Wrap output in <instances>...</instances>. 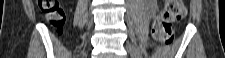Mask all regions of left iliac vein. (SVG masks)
Segmentation results:
<instances>
[{
  "label": "left iliac vein",
  "mask_w": 225,
  "mask_h": 58,
  "mask_svg": "<svg viewBox=\"0 0 225 58\" xmlns=\"http://www.w3.org/2000/svg\"><path fill=\"white\" fill-rule=\"evenodd\" d=\"M126 49H127V51L129 52V54L131 55L132 58H141L140 51L133 44H127Z\"/></svg>",
  "instance_id": "4c4485c4"
}]
</instances>
